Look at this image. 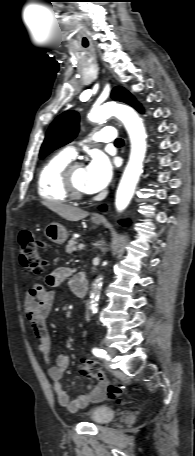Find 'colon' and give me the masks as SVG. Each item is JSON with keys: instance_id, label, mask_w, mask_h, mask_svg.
<instances>
[{"instance_id": "colon-1", "label": "colon", "mask_w": 195, "mask_h": 456, "mask_svg": "<svg viewBox=\"0 0 195 456\" xmlns=\"http://www.w3.org/2000/svg\"><path fill=\"white\" fill-rule=\"evenodd\" d=\"M20 247V262L22 266L36 275H40L46 265L44 258L40 254V248L43 243L36 239L34 233L30 231H23L19 235ZM80 372L96 381H103L105 379V372L102 366L92 360L85 359L79 366ZM123 388L115 385H109L107 388V395L110 398L120 400V395Z\"/></svg>"}]
</instances>
